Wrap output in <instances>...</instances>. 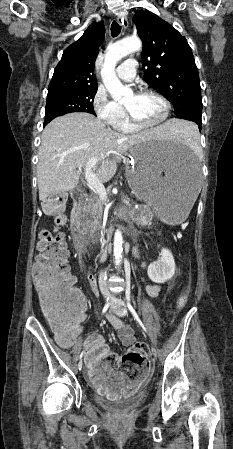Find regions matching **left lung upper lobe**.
<instances>
[{"label": "left lung upper lobe", "instance_id": "1", "mask_svg": "<svg viewBox=\"0 0 233 449\" xmlns=\"http://www.w3.org/2000/svg\"><path fill=\"white\" fill-rule=\"evenodd\" d=\"M133 21L143 42L144 80L172 102L177 117L201 126L199 74L186 39L150 11L137 12Z\"/></svg>", "mask_w": 233, "mask_h": 449}]
</instances>
